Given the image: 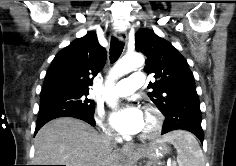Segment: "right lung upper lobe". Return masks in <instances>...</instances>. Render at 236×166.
<instances>
[{"label": "right lung upper lobe", "instance_id": "right-lung-upper-lobe-1", "mask_svg": "<svg viewBox=\"0 0 236 166\" xmlns=\"http://www.w3.org/2000/svg\"><path fill=\"white\" fill-rule=\"evenodd\" d=\"M106 57V50L99 44L96 33L88 32L56 54L42 90L66 87L88 91V86L93 83L90 75L94 77L102 70Z\"/></svg>", "mask_w": 236, "mask_h": 166}]
</instances>
